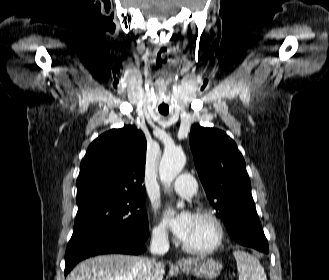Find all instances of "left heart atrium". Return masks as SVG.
<instances>
[{
    "label": "left heart atrium",
    "mask_w": 329,
    "mask_h": 280,
    "mask_svg": "<svg viewBox=\"0 0 329 280\" xmlns=\"http://www.w3.org/2000/svg\"><path fill=\"white\" fill-rule=\"evenodd\" d=\"M194 214L190 211L176 212L169 208L165 211V220L178 239L184 241L189 234L194 221Z\"/></svg>",
    "instance_id": "39dd6f15"
}]
</instances>
